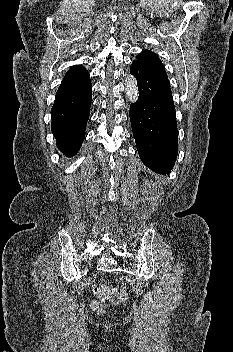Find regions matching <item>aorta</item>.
I'll return each instance as SVG.
<instances>
[{
    "label": "aorta",
    "instance_id": "1",
    "mask_svg": "<svg viewBox=\"0 0 233 352\" xmlns=\"http://www.w3.org/2000/svg\"><path fill=\"white\" fill-rule=\"evenodd\" d=\"M125 91L129 101L135 103L138 100L139 91L137 81L131 75H129L125 80Z\"/></svg>",
    "mask_w": 233,
    "mask_h": 352
}]
</instances>
